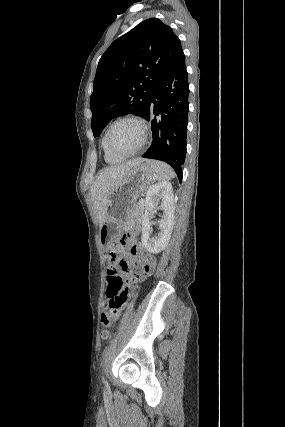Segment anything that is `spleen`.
<instances>
[{
  "label": "spleen",
  "instance_id": "obj_1",
  "mask_svg": "<svg viewBox=\"0 0 285 427\" xmlns=\"http://www.w3.org/2000/svg\"><path fill=\"white\" fill-rule=\"evenodd\" d=\"M146 163L153 169L156 180L168 181L175 177L173 169L163 162L147 160Z\"/></svg>",
  "mask_w": 285,
  "mask_h": 427
}]
</instances>
